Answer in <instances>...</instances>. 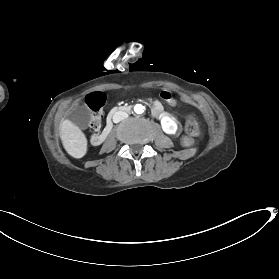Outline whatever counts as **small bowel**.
I'll list each match as a JSON object with an SVG mask.
<instances>
[{
  "label": "small bowel",
  "instance_id": "obj_1",
  "mask_svg": "<svg viewBox=\"0 0 279 279\" xmlns=\"http://www.w3.org/2000/svg\"><path fill=\"white\" fill-rule=\"evenodd\" d=\"M161 98L170 105L176 104V99L172 96L171 92L168 89H163L160 93ZM163 112V106L159 101L154 103V114L156 116L161 115Z\"/></svg>",
  "mask_w": 279,
  "mask_h": 279
}]
</instances>
